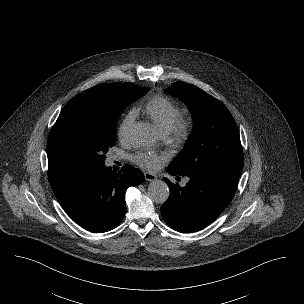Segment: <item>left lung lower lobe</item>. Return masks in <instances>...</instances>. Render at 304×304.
<instances>
[{"label": "left lung lower lobe", "instance_id": "0a47b994", "mask_svg": "<svg viewBox=\"0 0 304 304\" xmlns=\"http://www.w3.org/2000/svg\"><path fill=\"white\" fill-rule=\"evenodd\" d=\"M168 172L180 175L170 167ZM188 177L185 187L164 178L170 196L162 205L161 214L172 229L181 233L199 231L210 224L229 205L237 188V182L218 176Z\"/></svg>", "mask_w": 304, "mask_h": 304}]
</instances>
